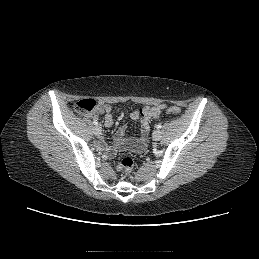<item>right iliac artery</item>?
<instances>
[{"label":"right iliac artery","instance_id":"82829eb1","mask_svg":"<svg viewBox=\"0 0 259 259\" xmlns=\"http://www.w3.org/2000/svg\"><path fill=\"white\" fill-rule=\"evenodd\" d=\"M93 124H94V125H98L97 120H93Z\"/></svg>","mask_w":259,"mask_h":259}]
</instances>
